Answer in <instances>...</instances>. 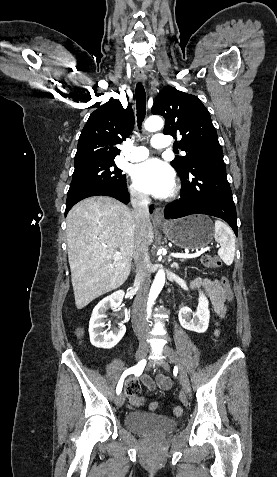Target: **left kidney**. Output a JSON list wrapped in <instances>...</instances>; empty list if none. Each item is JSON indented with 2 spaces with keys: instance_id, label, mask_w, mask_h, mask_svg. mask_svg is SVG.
Listing matches in <instances>:
<instances>
[{
  "instance_id": "1",
  "label": "left kidney",
  "mask_w": 277,
  "mask_h": 477,
  "mask_svg": "<svg viewBox=\"0 0 277 477\" xmlns=\"http://www.w3.org/2000/svg\"><path fill=\"white\" fill-rule=\"evenodd\" d=\"M209 302L203 292H199V303L195 315H191V310L188 307H182L179 311V322L181 326L187 330L197 333H204L208 329L210 312ZM196 316V318H195Z\"/></svg>"
}]
</instances>
